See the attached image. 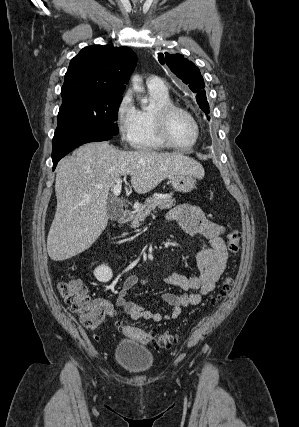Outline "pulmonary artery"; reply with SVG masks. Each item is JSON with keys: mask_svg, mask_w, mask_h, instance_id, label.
<instances>
[{"mask_svg": "<svg viewBox=\"0 0 299 427\" xmlns=\"http://www.w3.org/2000/svg\"><path fill=\"white\" fill-rule=\"evenodd\" d=\"M147 86L149 89H153L159 92H167L168 88L164 80L159 77H152L147 81Z\"/></svg>", "mask_w": 299, "mask_h": 427, "instance_id": "obj_1", "label": "pulmonary artery"}]
</instances>
